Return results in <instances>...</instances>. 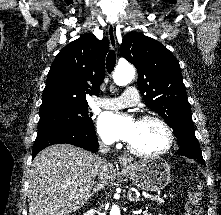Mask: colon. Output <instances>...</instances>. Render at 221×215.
<instances>
[{
  "label": "colon",
  "mask_w": 221,
  "mask_h": 215,
  "mask_svg": "<svg viewBox=\"0 0 221 215\" xmlns=\"http://www.w3.org/2000/svg\"><path fill=\"white\" fill-rule=\"evenodd\" d=\"M201 212V194L197 190H193L186 205L185 215H200Z\"/></svg>",
  "instance_id": "obj_1"
}]
</instances>
